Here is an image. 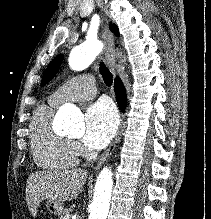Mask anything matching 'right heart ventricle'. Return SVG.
<instances>
[{
    "mask_svg": "<svg viewBox=\"0 0 211 219\" xmlns=\"http://www.w3.org/2000/svg\"><path fill=\"white\" fill-rule=\"evenodd\" d=\"M57 106L50 101L40 106L30 125L33 159L44 169H66L75 166L78 161L73 143L53 130L54 109Z\"/></svg>",
    "mask_w": 211,
    "mask_h": 219,
    "instance_id": "right-heart-ventricle-1",
    "label": "right heart ventricle"
}]
</instances>
